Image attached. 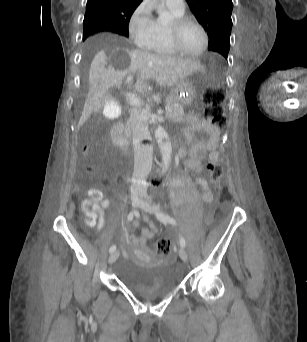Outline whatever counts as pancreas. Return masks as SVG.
Wrapping results in <instances>:
<instances>
[{
	"label": "pancreas",
	"mask_w": 307,
	"mask_h": 342,
	"mask_svg": "<svg viewBox=\"0 0 307 342\" xmlns=\"http://www.w3.org/2000/svg\"><path fill=\"white\" fill-rule=\"evenodd\" d=\"M168 104H177L178 102V95L177 94H169L167 97ZM170 108L169 110L167 108ZM183 108H178V106H166V116L169 120H179L184 116Z\"/></svg>",
	"instance_id": "1"
}]
</instances>
